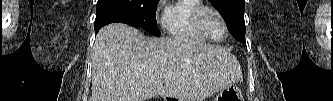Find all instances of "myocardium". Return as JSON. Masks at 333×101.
<instances>
[{"label": "myocardium", "instance_id": "1", "mask_svg": "<svg viewBox=\"0 0 333 101\" xmlns=\"http://www.w3.org/2000/svg\"><path fill=\"white\" fill-rule=\"evenodd\" d=\"M213 12L214 14L217 15V17L220 19L222 25H223V28H224V34L221 38H213L211 37L208 32L206 31V29L204 28V25H203V15L205 12ZM193 22H194V25H195V28L197 29V31L199 33H201L204 37L207 38V40H211L213 42H221L223 41L227 36H228V26H227V23L225 21V18L223 17V15L215 8L213 7H210V6H205V5H202L201 7H199L195 12H194V15H193Z\"/></svg>", "mask_w": 333, "mask_h": 101}]
</instances>
